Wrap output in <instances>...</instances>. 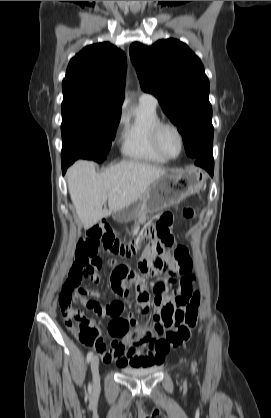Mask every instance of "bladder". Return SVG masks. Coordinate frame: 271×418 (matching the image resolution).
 <instances>
[{"label": "bladder", "instance_id": "31cf9c89", "mask_svg": "<svg viewBox=\"0 0 271 418\" xmlns=\"http://www.w3.org/2000/svg\"><path fill=\"white\" fill-rule=\"evenodd\" d=\"M159 370V366L124 368L122 372L133 377H145Z\"/></svg>", "mask_w": 271, "mask_h": 418}]
</instances>
